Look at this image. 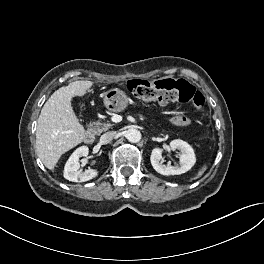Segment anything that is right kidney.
<instances>
[{
	"label": "right kidney",
	"mask_w": 264,
	"mask_h": 264,
	"mask_svg": "<svg viewBox=\"0 0 264 264\" xmlns=\"http://www.w3.org/2000/svg\"><path fill=\"white\" fill-rule=\"evenodd\" d=\"M88 153L89 148L87 146H81L72 153L64 167L65 179L72 182H86L98 176V171L96 169L89 168L85 171L79 170V159L81 157H86Z\"/></svg>",
	"instance_id": "ca27d5eb"
}]
</instances>
